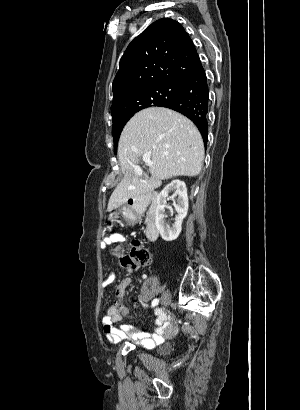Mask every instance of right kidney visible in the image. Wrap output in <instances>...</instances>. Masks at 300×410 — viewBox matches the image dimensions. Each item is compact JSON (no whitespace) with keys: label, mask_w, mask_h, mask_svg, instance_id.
I'll return each mask as SVG.
<instances>
[{"label":"right kidney","mask_w":300,"mask_h":410,"mask_svg":"<svg viewBox=\"0 0 300 410\" xmlns=\"http://www.w3.org/2000/svg\"><path fill=\"white\" fill-rule=\"evenodd\" d=\"M171 191H174V196H177L174 202V208L177 212L175 222L172 226L165 221L166 200ZM188 212V195L187 188L183 181L173 180L158 194L157 206L155 208V225L161 237L165 241H173L177 239L181 230L183 219Z\"/></svg>","instance_id":"obj_1"}]
</instances>
